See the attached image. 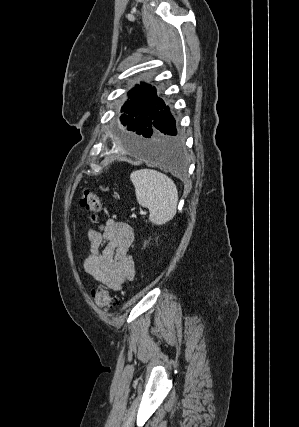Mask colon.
Segmentation results:
<instances>
[{"instance_id": "obj_1", "label": "colon", "mask_w": 299, "mask_h": 427, "mask_svg": "<svg viewBox=\"0 0 299 427\" xmlns=\"http://www.w3.org/2000/svg\"><path fill=\"white\" fill-rule=\"evenodd\" d=\"M79 205L86 210L92 221L96 220L97 215L102 210V202L99 195L91 190H85L79 199ZM95 304L103 309H112L116 300L111 297L109 291L104 286H98L93 294Z\"/></svg>"}]
</instances>
